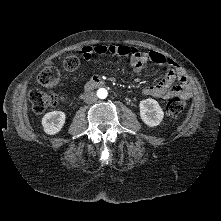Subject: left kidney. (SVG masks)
<instances>
[{"label":"left kidney","mask_w":221,"mask_h":221,"mask_svg":"<svg viewBox=\"0 0 221 221\" xmlns=\"http://www.w3.org/2000/svg\"><path fill=\"white\" fill-rule=\"evenodd\" d=\"M140 117L149 127L158 126L164 117V112L159 103L151 98L140 101Z\"/></svg>","instance_id":"1"}]
</instances>
